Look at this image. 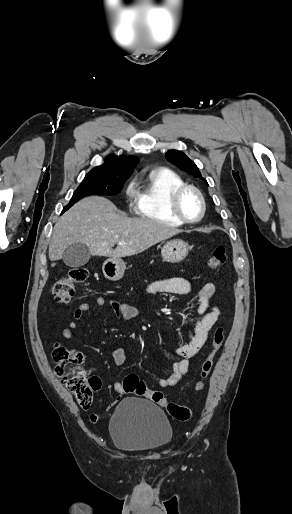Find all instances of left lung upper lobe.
Returning a JSON list of instances; mask_svg holds the SVG:
<instances>
[{"label": "left lung upper lobe", "mask_w": 292, "mask_h": 514, "mask_svg": "<svg viewBox=\"0 0 292 514\" xmlns=\"http://www.w3.org/2000/svg\"><path fill=\"white\" fill-rule=\"evenodd\" d=\"M166 159L176 165L181 170L187 172L188 174L202 179L206 184L207 181L202 177L198 167L196 164L190 160L183 152L177 150H170L165 155Z\"/></svg>", "instance_id": "obj_1"}]
</instances>
